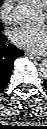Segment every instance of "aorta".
<instances>
[{
  "instance_id": "aorta-1",
  "label": "aorta",
  "mask_w": 47,
  "mask_h": 129,
  "mask_svg": "<svg viewBox=\"0 0 47 129\" xmlns=\"http://www.w3.org/2000/svg\"><path fill=\"white\" fill-rule=\"evenodd\" d=\"M37 13L38 11L34 7L28 4H20L14 9L13 16L17 22L30 23L36 19ZM46 67L47 66L44 63L42 66V71L45 76L47 75Z\"/></svg>"
}]
</instances>
